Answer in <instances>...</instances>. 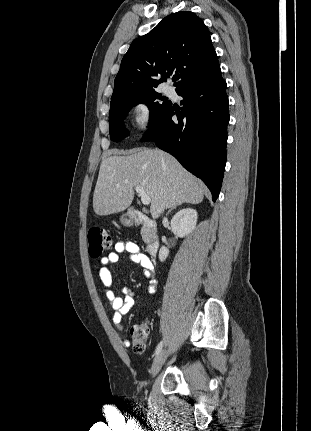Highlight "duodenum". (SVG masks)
<instances>
[{
	"instance_id": "410a0bca",
	"label": "duodenum",
	"mask_w": 311,
	"mask_h": 431,
	"mask_svg": "<svg viewBox=\"0 0 311 431\" xmlns=\"http://www.w3.org/2000/svg\"><path fill=\"white\" fill-rule=\"evenodd\" d=\"M130 217L136 224H140L144 226L149 231L153 232L155 229V225L153 220L144 212L138 210V209H131L130 210ZM159 241L152 237L148 244H147V251L151 256H156L159 251Z\"/></svg>"
}]
</instances>
